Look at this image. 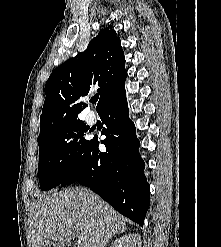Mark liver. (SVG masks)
I'll use <instances>...</instances> for the list:
<instances>
[{"instance_id":"obj_1","label":"liver","mask_w":221,"mask_h":247,"mask_svg":"<svg viewBox=\"0 0 221 247\" xmlns=\"http://www.w3.org/2000/svg\"><path fill=\"white\" fill-rule=\"evenodd\" d=\"M32 247L44 240L70 242L77 247H105L126 230V219L98 195L85 188H71L41 196L30 217Z\"/></svg>"}]
</instances>
